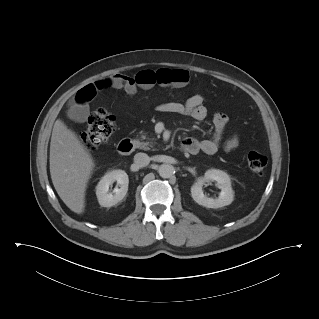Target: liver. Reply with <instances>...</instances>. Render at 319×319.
Listing matches in <instances>:
<instances>
[{
  "instance_id": "obj_1",
  "label": "liver",
  "mask_w": 319,
  "mask_h": 319,
  "mask_svg": "<svg viewBox=\"0 0 319 319\" xmlns=\"http://www.w3.org/2000/svg\"><path fill=\"white\" fill-rule=\"evenodd\" d=\"M50 174L59 197L77 214L85 209V191L94 169V161L63 121L54 124L50 142Z\"/></svg>"
}]
</instances>
